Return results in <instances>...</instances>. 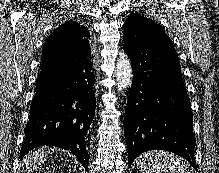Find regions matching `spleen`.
Listing matches in <instances>:
<instances>
[{"label": "spleen", "mask_w": 219, "mask_h": 173, "mask_svg": "<svg viewBox=\"0 0 219 173\" xmlns=\"http://www.w3.org/2000/svg\"><path fill=\"white\" fill-rule=\"evenodd\" d=\"M140 173H190L182 159L166 151H150L136 159Z\"/></svg>", "instance_id": "obj_1"}]
</instances>
